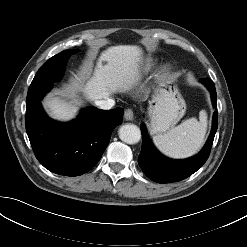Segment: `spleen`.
Wrapping results in <instances>:
<instances>
[{
  "instance_id": "spleen-1",
  "label": "spleen",
  "mask_w": 247,
  "mask_h": 247,
  "mask_svg": "<svg viewBox=\"0 0 247 247\" xmlns=\"http://www.w3.org/2000/svg\"><path fill=\"white\" fill-rule=\"evenodd\" d=\"M207 130V113L199 112V120L192 117L166 133L154 136L155 146L171 158H186L202 147Z\"/></svg>"
}]
</instances>
